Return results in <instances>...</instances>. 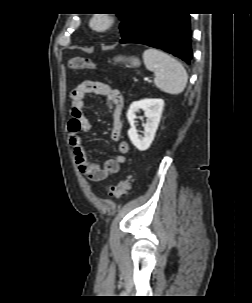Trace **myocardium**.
<instances>
[{"label":"myocardium","mask_w":252,"mask_h":303,"mask_svg":"<svg viewBox=\"0 0 252 303\" xmlns=\"http://www.w3.org/2000/svg\"><path fill=\"white\" fill-rule=\"evenodd\" d=\"M115 24V18L110 14H94L89 19L90 27L96 32H105Z\"/></svg>","instance_id":"myocardium-1"}]
</instances>
